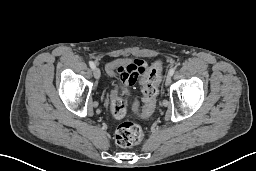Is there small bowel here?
<instances>
[{"instance_id":"obj_1","label":"small bowel","mask_w":256,"mask_h":171,"mask_svg":"<svg viewBox=\"0 0 256 171\" xmlns=\"http://www.w3.org/2000/svg\"><path fill=\"white\" fill-rule=\"evenodd\" d=\"M109 69L117 70L121 82L123 84H133L140 76H143L147 71V63L138 58H134L125 62H113L109 65ZM152 109L145 108L142 116L147 117L152 112Z\"/></svg>"}]
</instances>
